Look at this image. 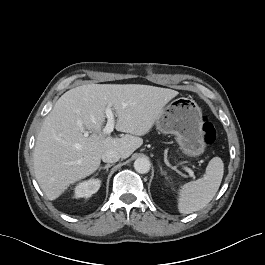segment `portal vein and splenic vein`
<instances>
[{
	"instance_id": "portal-vein-and-splenic-vein-1",
	"label": "portal vein and splenic vein",
	"mask_w": 265,
	"mask_h": 265,
	"mask_svg": "<svg viewBox=\"0 0 265 265\" xmlns=\"http://www.w3.org/2000/svg\"><path fill=\"white\" fill-rule=\"evenodd\" d=\"M105 114H106V117H107V123H106V126L103 129V133L106 134V135H109L114 129L115 118H114V114L112 112V109L110 107L106 108ZM184 169H185L186 172H188L190 177L195 178L194 172L190 168L184 167Z\"/></svg>"
}]
</instances>
